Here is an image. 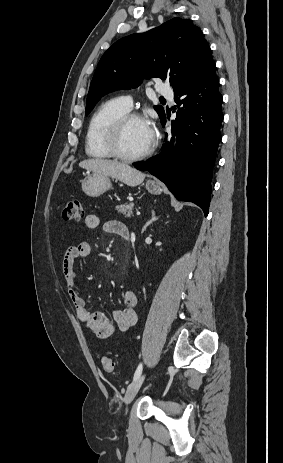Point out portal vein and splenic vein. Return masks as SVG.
Returning a JSON list of instances; mask_svg holds the SVG:
<instances>
[{"instance_id": "obj_1", "label": "portal vein and splenic vein", "mask_w": 283, "mask_h": 463, "mask_svg": "<svg viewBox=\"0 0 283 463\" xmlns=\"http://www.w3.org/2000/svg\"><path fill=\"white\" fill-rule=\"evenodd\" d=\"M141 213L140 212H137V215H140Z\"/></svg>"}]
</instances>
